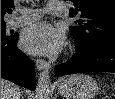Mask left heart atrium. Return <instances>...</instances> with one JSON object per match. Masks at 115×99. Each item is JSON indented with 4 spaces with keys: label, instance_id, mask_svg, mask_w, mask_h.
Masks as SVG:
<instances>
[{
    "label": "left heart atrium",
    "instance_id": "obj_1",
    "mask_svg": "<svg viewBox=\"0 0 115 99\" xmlns=\"http://www.w3.org/2000/svg\"><path fill=\"white\" fill-rule=\"evenodd\" d=\"M63 45V35L49 23L37 22L25 29L21 37L24 50L41 55H53Z\"/></svg>",
    "mask_w": 115,
    "mask_h": 99
}]
</instances>
